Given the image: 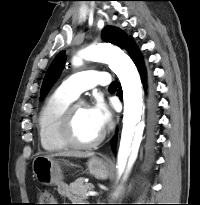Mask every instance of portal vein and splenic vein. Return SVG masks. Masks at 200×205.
Here are the masks:
<instances>
[{"label": "portal vein and splenic vein", "mask_w": 200, "mask_h": 205, "mask_svg": "<svg viewBox=\"0 0 200 205\" xmlns=\"http://www.w3.org/2000/svg\"><path fill=\"white\" fill-rule=\"evenodd\" d=\"M98 193L96 191H88L86 196H96Z\"/></svg>", "instance_id": "obj_1"}]
</instances>
